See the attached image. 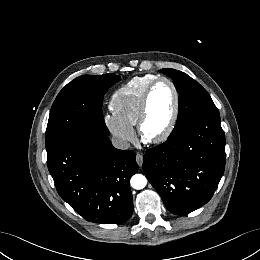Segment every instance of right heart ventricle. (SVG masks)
<instances>
[{
    "mask_svg": "<svg viewBox=\"0 0 260 260\" xmlns=\"http://www.w3.org/2000/svg\"><path fill=\"white\" fill-rule=\"evenodd\" d=\"M156 78L155 75L134 77L118 88L110 98L113 113L130 126L136 125L142 98Z\"/></svg>",
    "mask_w": 260,
    "mask_h": 260,
    "instance_id": "obj_1",
    "label": "right heart ventricle"
}]
</instances>
